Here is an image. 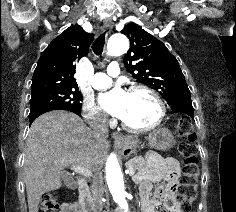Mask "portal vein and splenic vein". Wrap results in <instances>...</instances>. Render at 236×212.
<instances>
[{
    "instance_id": "1",
    "label": "portal vein and splenic vein",
    "mask_w": 236,
    "mask_h": 212,
    "mask_svg": "<svg viewBox=\"0 0 236 212\" xmlns=\"http://www.w3.org/2000/svg\"><path fill=\"white\" fill-rule=\"evenodd\" d=\"M71 169L74 171V172H76V173H78V174H81V175H83V176H91V171H89L87 168H85V167H82V166H71ZM127 173L130 175V176H132V175H134L135 174V171L134 170H127Z\"/></svg>"
}]
</instances>
